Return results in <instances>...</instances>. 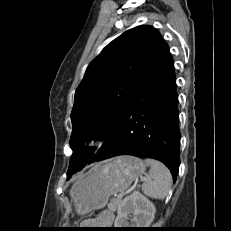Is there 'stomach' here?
I'll use <instances>...</instances> for the list:
<instances>
[{
  "label": "stomach",
  "instance_id": "1",
  "mask_svg": "<svg viewBox=\"0 0 231 231\" xmlns=\"http://www.w3.org/2000/svg\"><path fill=\"white\" fill-rule=\"evenodd\" d=\"M146 169L133 156H118L96 164L81 176L71 189V197L80 214L105 207L110 196L126 190Z\"/></svg>",
  "mask_w": 231,
  "mask_h": 231
}]
</instances>
